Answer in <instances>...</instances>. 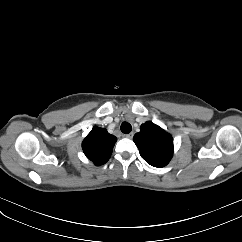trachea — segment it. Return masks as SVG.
Listing matches in <instances>:
<instances>
[{"instance_id":"3493384b","label":"trachea","mask_w":242,"mask_h":242,"mask_svg":"<svg viewBox=\"0 0 242 242\" xmlns=\"http://www.w3.org/2000/svg\"><path fill=\"white\" fill-rule=\"evenodd\" d=\"M121 131L124 133V134H128L131 132L132 130V126L128 123V122H123L121 124V127H120Z\"/></svg>"}]
</instances>
